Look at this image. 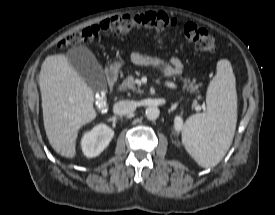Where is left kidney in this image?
Listing matches in <instances>:
<instances>
[{"label":"left kidney","instance_id":"1","mask_svg":"<svg viewBox=\"0 0 275 215\" xmlns=\"http://www.w3.org/2000/svg\"><path fill=\"white\" fill-rule=\"evenodd\" d=\"M183 128V119L181 116H176L174 119V129L179 133Z\"/></svg>","mask_w":275,"mask_h":215}]
</instances>
